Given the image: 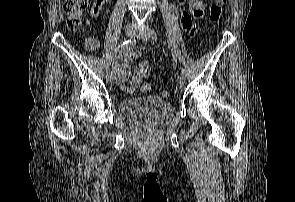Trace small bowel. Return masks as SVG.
Wrapping results in <instances>:
<instances>
[{"label": "small bowel", "instance_id": "1", "mask_svg": "<svg viewBox=\"0 0 295 202\" xmlns=\"http://www.w3.org/2000/svg\"><path fill=\"white\" fill-rule=\"evenodd\" d=\"M109 0H94L91 9L90 16L97 17L102 11L104 5ZM184 2V0H180ZM206 11V4L202 0H191L189 3V11H184L181 15V26L189 33L196 31V22L203 19ZM86 45L90 50H96L99 46L98 40L94 37H90L86 41ZM142 52L141 48H132L130 50L121 51L118 55L120 62H115L113 68L117 74V84L121 90L132 94L141 85L143 79H149V74L136 75V69L131 78L130 86L126 85V82L130 75L129 64L137 59Z\"/></svg>", "mask_w": 295, "mask_h": 202}]
</instances>
